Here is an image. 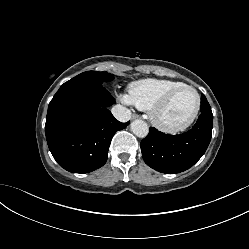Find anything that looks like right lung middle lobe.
<instances>
[{"label":"right lung middle lobe","instance_id":"1","mask_svg":"<svg viewBox=\"0 0 249 249\" xmlns=\"http://www.w3.org/2000/svg\"><path fill=\"white\" fill-rule=\"evenodd\" d=\"M74 79H87L97 85H102L105 82L112 81L114 77L107 72L86 71L74 77Z\"/></svg>","mask_w":249,"mask_h":249}]
</instances>
